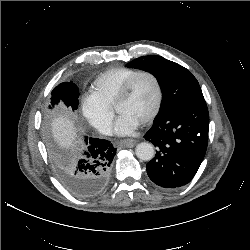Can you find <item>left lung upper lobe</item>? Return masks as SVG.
Instances as JSON below:
<instances>
[{"label":"left lung upper lobe","instance_id":"left-lung-upper-lobe-1","mask_svg":"<svg viewBox=\"0 0 250 250\" xmlns=\"http://www.w3.org/2000/svg\"><path fill=\"white\" fill-rule=\"evenodd\" d=\"M126 66L148 71L157 78L162 91V102L156 118L163 117L183 105L204 100L196 78L175 62L150 55L137 58Z\"/></svg>","mask_w":250,"mask_h":250}]
</instances>
